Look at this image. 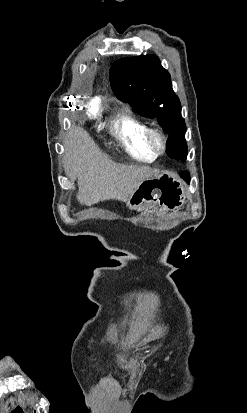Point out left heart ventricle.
I'll use <instances>...</instances> for the list:
<instances>
[{
    "instance_id": "left-heart-ventricle-1",
    "label": "left heart ventricle",
    "mask_w": 247,
    "mask_h": 413,
    "mask_svg": "<svg viewBox=\"0 0 247 413\" xmlns=\"http://www.w3.org/2000/svg\"><path fill=\"white\" fill-rule=\"evenodd\" d=\"M153 141H154V142H157V140H156L155 138L153 139Z\"/></svg>"
}]
</instances>
